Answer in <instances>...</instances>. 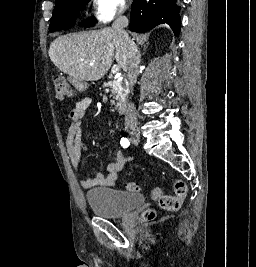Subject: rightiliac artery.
<instances>
[{
	"label": "right iliac artery",
	"instance_id": "obj_1",
	"mask_svg": "<svg viewBox=\"0 0 256 267\" xmlns=\"http://www.w3.org/2000/svg\"><path fill=\"white\" fill-rule=\"evenodd\" d=\"M120 144L123 146V148H127L130 145V141L127 138H122Z\"/></svg>",
	"mask_w": 256,
	"mask_h": 267
}]
</instances>
